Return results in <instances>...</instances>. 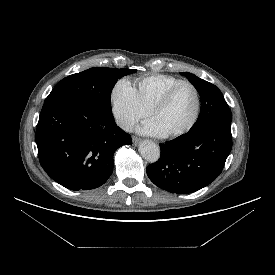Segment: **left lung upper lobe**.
<instances>
[{
    "instance_id": "1",
    "label": "left lung upper lobe",
    "mask_w": 275,
    "mask_h": 275,
    "mask_svg": "<svg viewBox=\"0 0 275 275\" xmlns=\"http://www.w3.org/2000/svg\"><path fill=\"white\" fill-rule=\"evenodd\" d=\"M181 74L188 78L201 98V111L190 131L208 125L230 124L231 111L221 91L212 83L200 79L194 74L187 72Z\"/></svg>"
}]
</instances>
